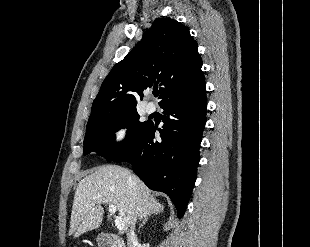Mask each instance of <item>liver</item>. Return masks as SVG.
<instances>
[{"instance_id":"6515ba94","label":"liver","mask_w":310,"mask_h":247,"mask_svg":"<svg viewBox=\"0 0 310 247\" xmlns=\"http://www.w3.org/2000/svg\"><path fill=\"white\" fill-rule=\"evenodd\" d=\"M102 204L116 206L125 224L124 232L138 219L164 210L149 188L129 170L117 165L100 166L77 186L69 235L77 238L100 227L104 214Z\"/></svg>"}]
</instances>
